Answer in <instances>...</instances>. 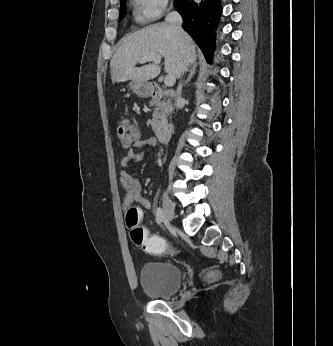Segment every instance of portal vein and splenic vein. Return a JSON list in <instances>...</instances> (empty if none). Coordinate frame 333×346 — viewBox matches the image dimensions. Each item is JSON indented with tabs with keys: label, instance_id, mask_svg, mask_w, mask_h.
<instances>
[{
	"label": "portal vein and splenic vein",
	"instance_id": "obj_1",
	"mask_svg": "<svg viewBox=\"0 0 333 346\" xmlns=\"http://www.w3.org/2000/svg\"><path fill=\"white\" fill-rule=\"evenodd\" d=\"M154 62L155 64H159L161 61L160 55H149L147 57H144L143 59L139 60V63H146V62ZM176 82V78L174 75H167L164 80V84L168 87H172Z\"/></svg>",
	"mask_w": 333,
	"mask_h": 346
}]
</instances>
